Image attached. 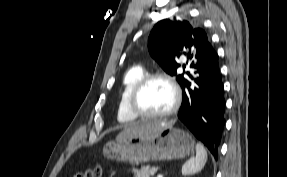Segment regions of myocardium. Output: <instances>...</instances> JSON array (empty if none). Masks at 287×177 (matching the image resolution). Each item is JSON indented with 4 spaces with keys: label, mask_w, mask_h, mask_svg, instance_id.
<instances>
[{
    "label": "myocardium",
    "mask_w": 287,
    "mask_h": 177,
    "mask_svg": "<svg viewBox=\"0 0 287 177\" xmlns=\"http://www.w3.org/2000/svg\"><path fill=\"white\" fill-rule=\"evenodd\" d=\"M161 80L164 81L171 88L173 93V104L165 112L159 114L146 113L142 111L138 106V97L141 91L152 81ZM181 104V92L172 77L165 73H149L144 75L134 86L129 97V108L136 116L143 119H162L173 115L180 107Z\"/></svg>",
    "instance_id": "1"
}]
</instances>
